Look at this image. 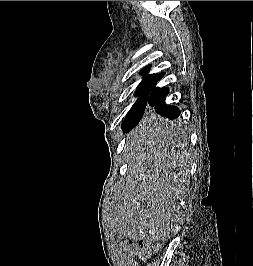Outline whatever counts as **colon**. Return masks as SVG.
I'll return each instance as SVG.
<instances>
[{"mask_svg":"<svg viewBox=\"0 0 253 266\" xmlns=\"http://www.w3.org/2000/svg\"><path fill=\"white\" fill-rule=\"evenodd\" d=\"M123 248L130 252V253H135L138 254L139 256L146 258L148 257L151 253H153L156 248H147L146 242H125L123 244Z\"/></svg>","mask_w":253,"mask_h":266,"instance_id":"obj_1","label":"colon"}]
</instances>
